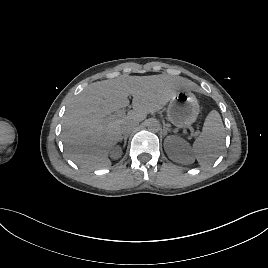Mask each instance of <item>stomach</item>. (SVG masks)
I'll return each mask as SVG.
<instances>
[{
    "label": "stomach",
    "instance_id": "obj_1",
    "mask_svg": "<svg viewBox=\"0 0 268 268\" xmlns=\"http://www.w3.org/2000/svg\"><path fill=\"white\" fill-rule=\"evenodd\" d=\"M199 111L195 95L189 90L182 89L170 100L167 117L177 128H186L196 121Z\"/></svg>",
    "mask_w": 268,
    "mask_h": 268
}]
</instances>
